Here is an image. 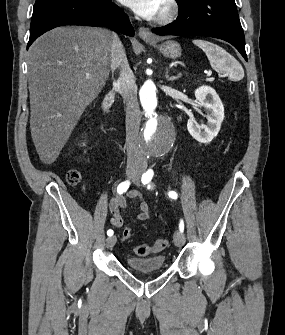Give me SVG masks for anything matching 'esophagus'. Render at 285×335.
Masks as SVG:
<instances>
[{
  "label": "esophagus",
  "mask_w": 285,
  "mask_h": 335,
  "mask_svg": "<svg viewBox=\"0 0 285 335\" xmlns=\"http://www.w3.org/2000/svg\"><path fill=\"white\" fill-rule=\"evenodd\" d=\"M138 33H139V37L147 40V41H150V40H153L154 37L151 33V31L149 30V28H146V27H140L139 30H138Z\"/></svg>",
  "instance_id": "esophagus-1"
}]
</instances>
